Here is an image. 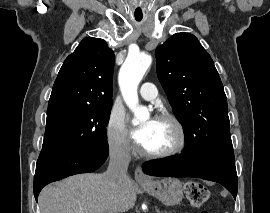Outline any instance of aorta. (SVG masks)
<instances>
[{
  "instance_id": "1",
  "label": "aorta",
  "mask_w": 270,
  "mask_h": 213,
  "mask_svg": "<svg viewBox=\"0 0 270 213\" xmlns=\"http://www.w3.org/2000/svg\"><path fill=\"white\" fill-rule=\"evenodd\" d=\"M152 63V57L146 53L127 56L119 72V84L127 106L133 111V124L148 119L147 108L139 105L137 88L147 69Z\"/></svg>"
}]
</instances>
